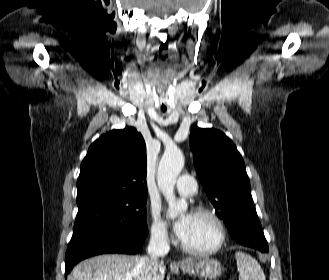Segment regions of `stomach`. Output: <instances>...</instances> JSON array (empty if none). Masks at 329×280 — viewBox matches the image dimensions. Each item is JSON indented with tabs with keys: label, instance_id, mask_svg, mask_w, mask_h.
Instances as JSON below:
<instances>
[{
	"label": "stomach",
	"instance_id": "1",
	"mask_svg": "<svg viewBox=\"0 0 329 280\" xmlns=\"http://www.w3.org/2000/svg\"><path fill=\"white\" fill-rule=\"evenodd\" d=\"M181 269L188 275L205 280H214L222 273V266L220 262L209 258L191 261L188 265H181Z\"/></svg>",
	"mask_w": 329,
	"mask_h": 280
}]
</instances>
